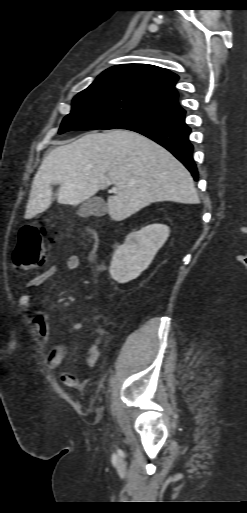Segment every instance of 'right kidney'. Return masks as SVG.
<instances>
[{
    "label": "right kidney",
    "mask_w": 247,
    "mask_h": 513,
    "mask_svg": "<svg viewBox=\"0 0 247 513\" xmlns=\"http://www.w3.org/2000/svg\"><path fill=\"white\" fill-rule=\"evenodd\" d=\"M169 233L168 226L152 224L129 234L124 244L114 252L110 265L111 277L119 283L137 278L148 268Z\"/></svg>",
    "instance_id": "obj_1"
}]
</instances>
